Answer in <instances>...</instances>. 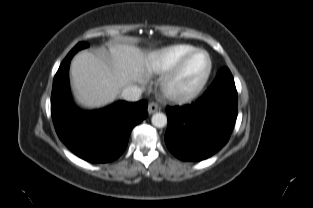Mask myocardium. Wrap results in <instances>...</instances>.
Instances as JSON below:
<instances>
[{"label":"myocardium","instance_id":"1","mask_svg":"<svg viewBox=\"0 0 313 208\" xmlns=\"http://www.w3.org/2000/svg\"><path fill=\"white\" fill-rule=\"evenodd\" d=\"M199 54L206 58V67L197 82L189 87L181 86L180 80L183 77L186 67L190 61ZM212 71V61L209 54L201 49H195L185 56L179 64L162 79L160 89L163 96L171 101L186 102L196 98L204 89Z\"/></svg>","mask_w":313,"mask_h":208}]
</instances>
